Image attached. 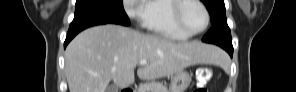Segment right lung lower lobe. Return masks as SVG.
Segmentation results:
<instances>
[{
  "instance_id": "1",
  "label": "right lung lower lobe",
  "mask_w": 296,
  "mask_h": 92,
  "mask_svg": "<svg viewBox=\"0 0 296 92\" xmlns=\"http://www.w3.org/2000/svg\"><path fill=\"white\" fill-rule=\"evenodd\" d=\"M100 24H107V22H101L97 20H88V21L79 22V23H71L67 33L66 40L64 42V47H66V45L71 41V39L74 36H76L80 31L88 27L100 25Z\"/></svg>"
}]
</instances>
